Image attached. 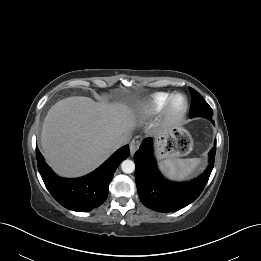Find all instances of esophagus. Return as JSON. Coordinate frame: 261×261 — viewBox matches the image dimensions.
Returning a JSON list of instances; mask_svg holds the SVG:
<instances>
[{
	"label": "esophagus",
	"instance_id": "34e87169",
	"mask_svg": "<svg viewBox=\"0 0 261 261\" xmlns=\"http://www.w3.org/2000/svg\"><path fill=\"white\" fill-rule=\"evenodd\" d=\"M139 144L140 142L136 139H133L130 143V152H131V155H133L136 150L139 148Z\"/></svg>",
	"mask_w": 261,
	"mask_h": 261
}]
</instances>
